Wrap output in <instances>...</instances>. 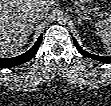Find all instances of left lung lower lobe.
<instances>
[{
    "instance_id": "0a47b994",
    "label": "left lung lower lobe",
    "mask_w": 111,
    "mask_h": 106,
    "mask_svg": "<svg viewBox=\"0 0 111 106\" xmlns=\"http://www.w3.org/2000/svg\"><path fill=\"white\" fill-rule=\"evenodd\" d=\"M74 44L77 48V50L82 54L84 55L85 57H89V58H92L94 60H97V61H101V62H104V63H111V57H103V56H97V55H93V54H90L88 53L87 51L83 50L79 44L77 43V41L74 39Z\"/></svg>"
}]
</instances>
